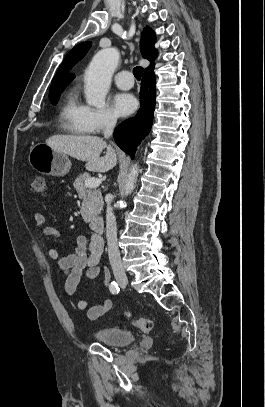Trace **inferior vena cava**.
<instances>
[{"label":"inferior vena cava","mask_w":265,"mask_h":407,"mask_svg":"<svg viewBox=\"0 0 265 407\" xmlns=\"http://www.w3.org/2000/svg\"><path fill=\"white\" fill-rule=\"evenodd\" d=\"M116 125V118L108 114L105 117L104 137L109 138ZM106 237L108 245V255L113 274L116 278H125V270L122 265L120 252L117 243V226L116 219L110 204L107 205L106 210Z\"/></svg>","instance_id":"inferior-vena-cava-1"}]
</instances>
